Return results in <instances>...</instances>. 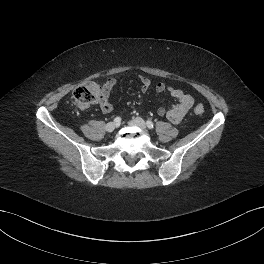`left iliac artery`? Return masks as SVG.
<instances>
[{"mask_svg":"<svg viewBox=\"0 0 264 264\" xmlns=\"http://www.w3.org/2000/svg\"><path fill=\"white\" fill-rule=\"evenodd\" d=\"M146 125H147V127L149 128V129H153L154 128V124H153V122L152 121H147L146 122Z\"/></svg>","mask_w":264,"mask_h":264,"instance_id":"44dca946","label":"left iliac artery"}]
</instances>
